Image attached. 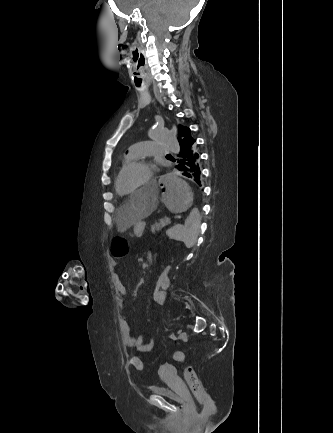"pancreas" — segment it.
Returning <instances> with one entry per match:
<instances>
[{
	"instance_id": "1",
	"label": "pancreas",
	"mask_w": 333,
	"mask_h": 433,
	"mask_svg": "<svg viewBox=\"0 0 333 433\" xmlns=\"http://www.w3.org/2000/svg\"><path fill=\"white\" fill-rule=\"evenodd\" d=\"M168 224H170V218L168 217L161 218L151 226V231L152 233L161 232L162 228Z\"/></svg>"
}]
</instances>
